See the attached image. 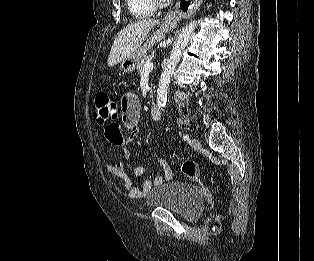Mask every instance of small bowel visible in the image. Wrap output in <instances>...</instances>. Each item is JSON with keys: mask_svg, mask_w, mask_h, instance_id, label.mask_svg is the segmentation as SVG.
Masks as SVG:
<instances>
[{"mask_svg": "<svg viewBox=\"0 0 314 261\" xmlns=\"http://www.w3.org/2000/svg\"><path fill=\"white\" fill-rule=\"evenodd\" d=\"M120 110L123 122L130 128L129 135L125 138V127L122 126L121 120H108V124L104 126L103 135L109 148H121L123 158L129 160L131 153L128 146L139 135L137 123L140 115V100L138 96L133 92H126L121 98ZM154 164L162 169L163 174L145 179L141 187L134 185L123 161H117L108 169L111 175L122 183L128 198L139 199L145 197L153 187L172 179L173 172L164 158L155 159ZM146 171V165H138L132 168V174L136 177L144 175Z\"/></svg>", "mask_w": 314, "mask_h": 261, "instance_id": "1", "label": "small bowel"}]
</instances>
